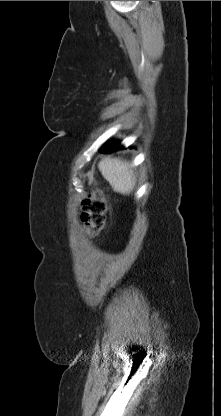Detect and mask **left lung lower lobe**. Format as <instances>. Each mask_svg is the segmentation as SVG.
<instances>
[{"label":"left lung lower lobe","instance_id":"left-lung-lower-lobe-1","mask_svg":"<svg viewBox=\"0 0 221 416\" xmlns=\"http://www.w3.org/2000/svg\"><path fill=\"white\" fill-rule=\"evenodd\" d=\"M122 146H120V144L117 141H111L108 142L106 144H104L101 148H100V152L101 153H110L113 152L119 148H121Z\"/></svg>","mask_w":221,"mask_h":416}]
</instances>
